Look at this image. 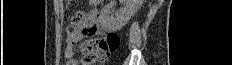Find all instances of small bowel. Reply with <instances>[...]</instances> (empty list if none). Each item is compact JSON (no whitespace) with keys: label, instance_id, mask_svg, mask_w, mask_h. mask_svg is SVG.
<instances>
[{"label":"small bowel","instance_id":"small-bowel-1","mask_svg":"<svg viewBox=\"0 0 232 65\" xmlns=\"http://www.w3.org/2000/svg\"><path fill=\"white\" fill-rule=\"evenodd\" d=\"M102 32L100 27V18L97 12H91L85 15L80 22L74 33L69 34L65 44V57L67 59V65H92L85 59H82L78 63L74 58L75 46L78 42L83 40L85 35H94Z\"/></svg>","mask_w":232,"mask_h":65}]
</instances>
